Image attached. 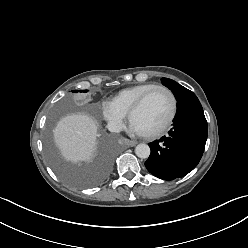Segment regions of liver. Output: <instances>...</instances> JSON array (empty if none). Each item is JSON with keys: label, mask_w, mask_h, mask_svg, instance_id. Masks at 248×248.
Here are the masks:
<instances>
[{"label": "liver", "mask_w": 248, "mask_h": 248, "mask_svg": "<svg viewBox=\"0 0 248 248\" xmlns=\"http://www.w3.org/2000/svg\"><path fill=\"white\" fill-rule=\"evenodd\" d=\"M56 145L65 159L71 162L90 161L96 152L97 124L85 114L63 117L54 131Z\"/></svg>", "instance_id": "liver-1"}]
</instances>
